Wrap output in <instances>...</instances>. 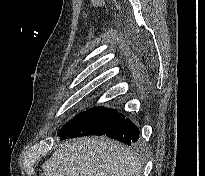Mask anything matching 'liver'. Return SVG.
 Returning a JSON list of instances; mask_svg holds the SVG:
<instances>
[{"label":"liver","mask_w":205,"mask_h":176,"mask_svg":"<svg viewBox=\"0 0 205 176\" xmlns=\"http://www.w3.org/2000/svg\"><path fill=\"white\" fill-rule=\"evenodd\" d=\"M45 176H140L141 162L107 138L64 141L43 164Z\"/></svg>","instance_id":"1"}]
</instances>
